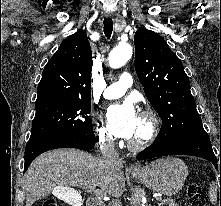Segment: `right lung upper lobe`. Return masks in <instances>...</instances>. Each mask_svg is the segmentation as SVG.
Returning <instances> with one entry per match:
<instances>
[{
	"label": "right lung upper lobe",
	"mask_w": 221,
	"mask_h": 206,
	"mask_svg": "<svg viewBox=\"0 0 221 206\" xmlns=\"http://www.w3.org/2000/svg\"><path fill=\"white\" fill-rule=\"evenodd\" d=\"M92 52L86 33L67 37L46 64L37 88L35 106L52 103H90Z\"/></svg>",
	"instance_id": "1"
}]
</instances>
